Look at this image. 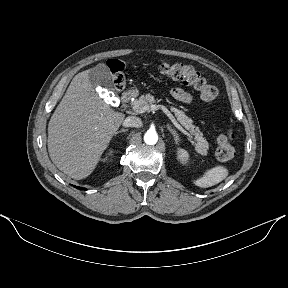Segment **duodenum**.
<instances>
[{
  "label": "duodenum",
  "instance_id": "410a0bca",
  "mask_svg": "<svg viewBox=\"0 0 288 288\" xmlns=\"http://www.w3.org/2000/svg\"><path fill=\"white\" fill-rule=\"evenodd\" d=\"M134 97V93L132 91H126L122 94L121 101L123 104L129 103Z\"/></svg>",
  "mask_w": 288,
  "mask_h": 288
}]
</instances>
